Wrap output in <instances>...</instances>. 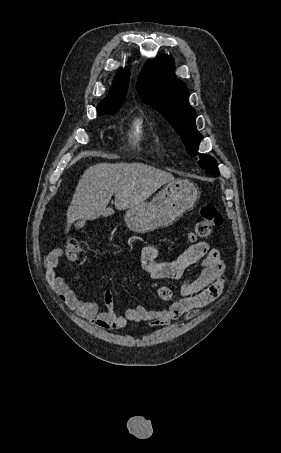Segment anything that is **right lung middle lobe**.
<instances>
[{"instance_id":"1","label":"right lung middle lobe","mask_w":281,"mask_h":453,"mask_svg":"<svg viewBox=\"0 0 281 453\" xmlns=\"http://www.w3.org/2000/svg\"><path fill=\"white\" fill-rule=\"evenodd\" d=\"M117 112H118V111H114V112H110V113H108V114L113 115V114H115V113H117Z\"/></svg>"}]
</instances>
